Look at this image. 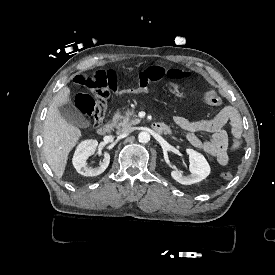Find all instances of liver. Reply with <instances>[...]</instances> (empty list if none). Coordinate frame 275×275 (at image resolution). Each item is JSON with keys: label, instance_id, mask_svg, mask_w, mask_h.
Wrapping results in <instances>:
<instances>
[{"label": "liver", "instance_id": "1", "mask_svg": "<svg viewBox=\"0 0 275 275\" xmlns=\"http://www.w3.org/2000/svg\"><path fill=\"white\" fill-rule=\"evenodd\" d=\"M95 73H90L94 75ZM71 102V89L64 86L55 95L47 111L43 126L44 156L58 179H62L70 152L82 140L83 132L68 123L60 114L59 106Z\"/></svg>", "mask_w": 275, "mask_h": 275}]
</instances>
